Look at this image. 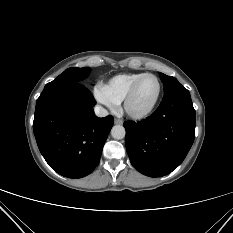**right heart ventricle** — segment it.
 Here are the masks:
<instances>
[{
  "instance_id": "e07e8e85",
  "label": "right heart ventricle",
  "mask_w": 233,
  "mask_h": 233,
  "mask_svg": "<svg viewBox=\"0 0 233 233\" xmlns=\"http://www.w3.org/2000/svg\"><path fill=\"white\" fill-rule=\"evenodd\" d=\"M145 73H124L112 77L106 87L117 103L124 100L133 83Z\"/></svg>"
}]
</instances>
